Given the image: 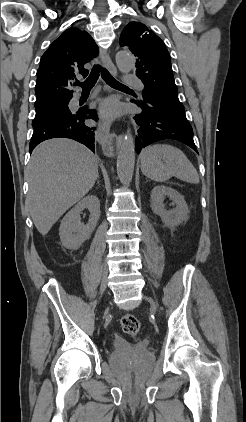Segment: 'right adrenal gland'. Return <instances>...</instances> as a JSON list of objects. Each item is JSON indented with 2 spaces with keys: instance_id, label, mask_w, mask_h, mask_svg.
<instances>
[{
  "instance_id": "1",
  "label": "right adrenal gland",
  "mask_w": 246,
  "mask_h": 422,
  "mask_svg": "<svg viewBox=\"0 0 246 422\" xmlns=\"http://www.w3.org/2000/svg\"><path fill=\"white\" fill-rule=\"evenodd\" d=\"M97 184H99V180H97Z\"/></svg>"
}]
</instances>
